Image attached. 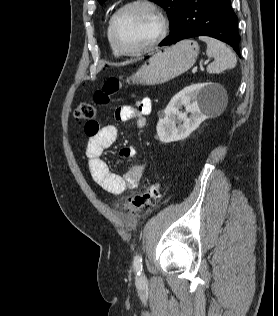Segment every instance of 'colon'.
Instances as JSON below:
<instances>
[{
  "label": "colon",
  "instance_id": "5ec220e1",
  "mask_svg": "<svg viewBox=\"0 0 278 316\" xmlns=\"http://www.w3.org/2000/svg\"><path fill=\"white\" fill-rule=\"evenodd\" d=\"M120 89V82L117 78H109L104 86L94 93V102L98 105H106L111 97ZM96 108L90 103H80L74 111V118L77 122H84V133L87 136L94 135L98 129L96 122ZM160 196L158 183L150 184L142 193L128 198L124 207L127 211L137 213L149 210L154 206Z\"/></svg>",
  "mask_w": 278,
  "mask_h": 316
}]
</instances>
